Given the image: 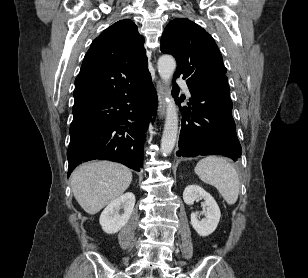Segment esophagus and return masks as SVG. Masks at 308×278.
<instances>
[{
	"instance_id": "esophagus-1",
	"label": "esophagus",
	"mask_w": 308,
	"mask_h": 278,
	"mask_svg": "<svg viewBox=\"0 0 308 278\" xmlns=\"http://www.w3.org/2000/svg\"><path fill=\"white\" fill-rule=\"evenodd\" d=\"M156 88L159 100L158 114L159 118L162 119L166 112V89L161 80L156 81Z\"/></svg>"
}]
</instances>
